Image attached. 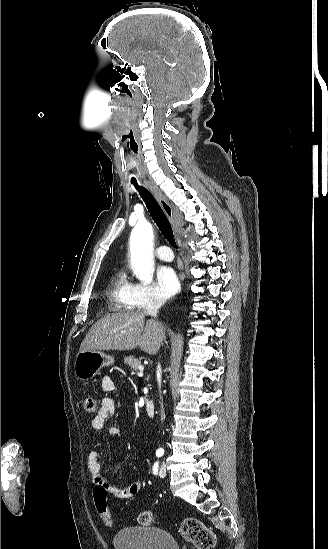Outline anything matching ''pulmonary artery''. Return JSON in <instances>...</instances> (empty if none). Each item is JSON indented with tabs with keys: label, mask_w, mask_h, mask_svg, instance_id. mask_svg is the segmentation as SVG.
I'll return each instance as SVG.
<instances>
[{
	"label": "pulmonary artery",
	"mask_w": 328,
	"mask_h": 549,
	"mask_svg": "<svg viewBox=\"0 0 328 549\" xmlns=\"http://www.w3.org/2000/svg\"><path fill=\"white\" fill-rule=\"evenodd\" d=\"M156 256L163 261H170L173 259L172 253L167 251L164 247H161L156 251Z\"/></svg>",
	"instance_id": "pulmonary-artery-1"
}]
</instances>
